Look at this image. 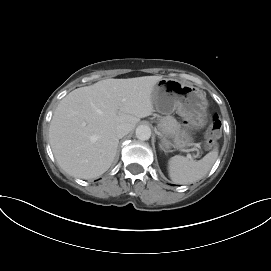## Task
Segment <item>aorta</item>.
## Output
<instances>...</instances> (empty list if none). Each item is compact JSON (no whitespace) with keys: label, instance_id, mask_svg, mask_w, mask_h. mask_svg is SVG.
<instances>
[{"label":"aorta","instance_id":"762f6f07","mask_svg":"<svg viewBox=\"0 0 271 271\" xmlns=\"http://www.w3.org/2000/svg\"><path fill=\"white\" fill-rule=\"evenodd\" d=\"M136 137L141 140L145 141L151 137V129L147 125H140L136 128Z\"/></svg>","mask_w":271,"mask_h":271}]
</instances>
